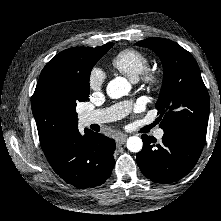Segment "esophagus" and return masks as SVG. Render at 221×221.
<instances>
[{"label":"esophagus","mask_w":221,"mask_h":221,"mask_svg":"<svg viewBox=\"0 0 221 221\" xmlns=\"http://www.w3.org/2000/svg\"><path fill=\"white\" fill-rule=\"evenodd\" d=\"M125 142H126V135H124V134H119V135L116 137V144H117V146H121V145H123Z\"/></svg>","instance_id":"obj_1"}]
</instances>
